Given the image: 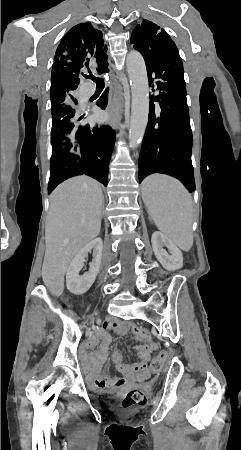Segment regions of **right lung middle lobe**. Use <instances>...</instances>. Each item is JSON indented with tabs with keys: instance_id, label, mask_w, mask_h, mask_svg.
Listing matches in <instances>:
<instances>
[{
	"instance_id": "dd1d6c3e",
	"label": "right lung middle lobe",
	"mask_w": 241,
	"mask_h": 450,
	"mask_svg": "<svg viewBox=\"0 0 241 450\" xmlns=\"http://www.w3.org/2000/svg\"><path fill=\"white\" fill-rule=\"evenodd\" d=\"M52 114V146H70L74 144V137L72 134H63L58 131L55 124L65 117L76 119V105L78 100L73 96L66 97L61 100L51 101Z\"/></svg>"
}]
</instances>
